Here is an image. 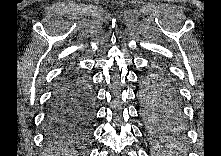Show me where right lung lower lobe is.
I'll use <instances>...</instances> for the list:
<instances>
[{
    "instance_id": "obj_1",
    "label": "right lung lower lobe",
    "mask_w": 221,
    "mask_h": 156,
    "mask_svg": "<svg viewBox=\"0 0 221 156\" xmlns=\"http://www.w3.org/2000/svg\"><path fill=\"white\" fill-rule=\"evenodd\" d=\"M94 90L81 73L64 74L49 101L46 113L48 131L75 130L90 126L93 120Z\"/></svg>"
}]
</instances>
